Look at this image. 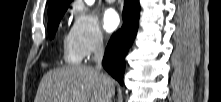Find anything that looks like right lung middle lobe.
Returning a JSON list of instances; mask_svg holds the SVG:
<instances>
[{
    "label": "right lung middle lobe",
    "mask_w": 221,
    "mask_h": 102,
    "mask_svg": "<svg viewBox=\"0 0 221 102\" xmlns=\"http://www.w3.org/2000/svg\"><path fill=\"white\" fill-rule=\"evenodd\" d=\"M66 10H67V8L62 9V10L56 12L51 18H49L48 35H49L50 39L54 38L56 30L58 28V24H59V22H60V20Z\"/></svg>",
    "instance_id": "dd1d6c3e"
}]
</instances>
